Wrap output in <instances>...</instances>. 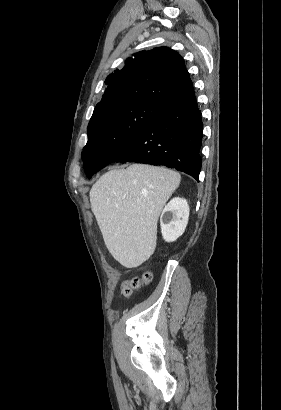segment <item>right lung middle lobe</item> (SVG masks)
<instances>
[{
	"label": "right lung middle lobe",
	"mask_w": 281,
	"mask_h": 410,
	"mask_svg": "<svg viewBox=\"0 0 281 410\" xmlns=\"http://www.w3.org/2000/svg\"><path fill=\"white\" fill-rule=\"evenodd\" d=\"M157 106L135 103L116 105L94 113L88 125V142L82 160L86 176L112 163L160 112Z\"/></svg>",
	"instance_id": "obj_1"
}]
</instances>
